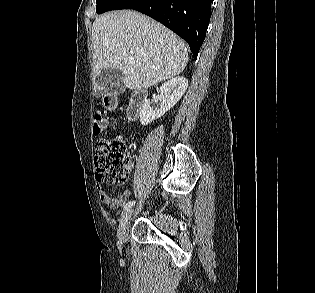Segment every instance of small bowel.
<instances>
[{"label": "small bowel", "mask_w": 315, "mask_h": 293, "mask_svg": "<svg viewBox=\"0 0 315 293\" xmlns=\"http://www.w3.org/2000/svg\"><path fill=\"white\" fill-rule=\"evenodd\" d=\"M132 167V164L130 163V168ZM97 188L98 191L100 193V199L101 201L108 205L110 208H118L120 206H122L123 204H125V202L127 201L129 192L125 191L121 194H119L118 196H111L102 186V184L100 182H98L97 184Z\"/></svg>", "instance_id": "c3829d8e"}]
</instances>
